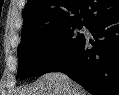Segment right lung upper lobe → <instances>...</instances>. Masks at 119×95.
Masks as SVG:
<instances>
[{
    "label": "right lung upper lobe",
    "mask_w": 119,
    "mask_h": 95,
    "mask_svg": "<svg viewBox=\"0 0 119 95\" xmlns=\"http://www.w3.org/2000/svg\"><path fill=\"white\" fill-rule=\"evenodd\" d=\"M119 13V0H28L22 36L36 27L80 23L86 27Z\"/></svg>",
    "instance_id": "right-lung-upper-lobe-1"
}]
</instances>
